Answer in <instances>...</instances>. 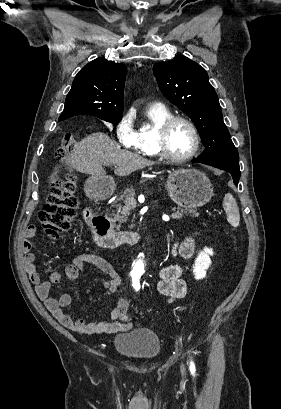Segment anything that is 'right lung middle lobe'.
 Segmentation results:
<instances>
[{"label":"right lung middle lobe","instance_id":"obj_1","mask_svg":"<svg viewBox=\"0 0 281 409\" xmlns=\"http://www.w3.org/2000/svg\"><path fill=\"white\" fill-rule=\"evenodd\" d=\"M98 118H100L102 120H105L107 122H110V123H114V124L119 123L120 120L122 119V117H110V116H101V117H98Z\"/></svg>","mask_w":281,"mask_h":409}]
</instances>
